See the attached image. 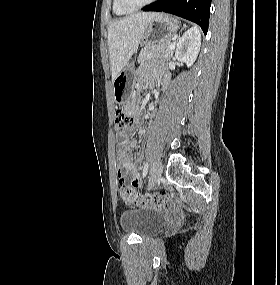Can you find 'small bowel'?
<instances>
[{"instance_id": "small-bowel-1", "label": "small bowel", "mask_w": 280, "mask_h": 285, "mask_svg": "<svg viewBox=\"0 0 280 285\" xmlns=\"http://www.w3.org/2000/svg\"><path fill=\"white\" fill-rule=\"evenodd\" d=\"M168 76L163 74L159 77V86L164 88L168 84ZM146 81V78H144ZM124 110L133 116H137V107L134 104H129L124 107ZM137 146L136 141L129 140L127 134H123L118 140V169L117 174L120 183H126L130 179V184L133 188H138L140 186V173L134 163L129 152L135 149Z\"/></svg>"}]
</instances>
